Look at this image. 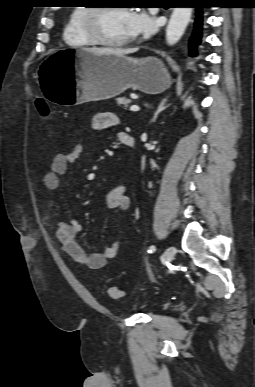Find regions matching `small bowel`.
I'll return each mask as SVG.
<instances>
[{
	"instance_id": "obj_1",
	"label": "small bowel",
	"mask_w": 255,
	"mask_h": 387,
	"mask_svg": "<svg viewBox=\"0 0 255 387\" xmlns=\"http://www.w3.org/2000/svg\"><path fill=\"white\" fill-rule=\"evenodd\" d=\"M118 123V117L107 112L97 114L92 120V126L96 130L107 129L116 126ZM83 151V146L76 144L70 152L58 153L53 157L50 171L43 177L44 185L48 190L58 193L60 189V176L67 172L69 164L75 162L83 154ZM105 200L110 209L127 210L130 206V199L127 196L126 188L122 184L112 187L107 192ZM55 212L56 215L62 214V205L59 202L55 203ZM82 229L81 223L72 217L57 219L54 222V231L61 249L75 263L89 269L105 267L108 260L118 254L120 241L114 240L103 252L89 253L76 240Z\"/></svg>"
}]
</instances>
